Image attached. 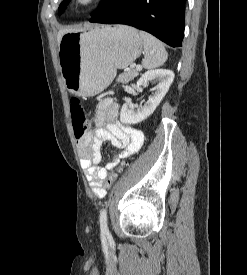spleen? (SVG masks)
I'll list each match as a JSON object with an SVG mask.
<instances>
[{
    "mask_svg": "<svg viewBox=\"0 0 247 275\" xmlns=\"http://www.w3.org/2000/svg\"><path fill=\"white\" fill-rule=\"evenodd\" d=\"M139 35L144 43L143 67L152 69L163 65L168 58L164 45L149 33L140 31Z\"/></svg>",
    "mask_w": 247,
    "mask_h": 275,
    "instance_id": "obj_1",
    "label": "spleen"
}]
</instances>
